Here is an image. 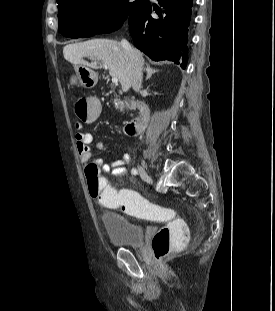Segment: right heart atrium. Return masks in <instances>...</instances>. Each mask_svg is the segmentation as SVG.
Masks as SVG:
<instances>
[{
  "label": "right heart atrium",
  "instance_id": "1",
  "mask_svg": "<svg viewBox=\"0 0 275 311\" xmlns=\"http://www.w3.org/2000/svg\"><path fill=\"white\" fill-rule=\"evenodd\" d=\"M109 11H115L118 9V4L117 3H112L110 6H109Z\"/></svg>",
  "mask_w": 275,
  "mask_h": 311
}]
</instances>
